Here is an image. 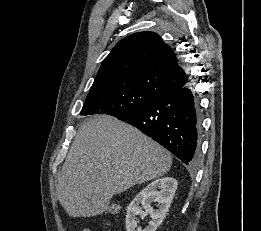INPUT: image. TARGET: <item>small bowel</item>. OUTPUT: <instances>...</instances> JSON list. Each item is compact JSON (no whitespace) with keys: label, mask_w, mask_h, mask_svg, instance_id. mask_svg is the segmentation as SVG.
<instances>
[{"label":"small bowel","mask_w":261,"mask_h":231,"mask_svg":"<svg viewBox=\"0 0 261 231\" xmlns=\"http://www.w3.org/2000/svg\"><path fill=\"white\" fill-rule=\"evenodd\" d=\"M82 231H93L91 228H84Z\"/></svg>","instance_id":"c3829d8e"}]
</instances>
